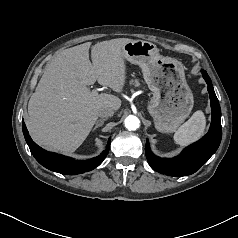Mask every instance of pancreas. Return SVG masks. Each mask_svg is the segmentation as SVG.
<instances>
[{
	"label": "pancreas",
	"mask_w": 238,
	"mask_h": 238,
	"mask_svg": "<svg viewBox=\"0 0 238 238\" xmlns=\"http://www.w3.org/2000/svg\"><path fill=\"white\" fill-rule=\"evenodd\" d=\"M130 85H133L135 87H138L139 86V81L138 80H131L130 81Z\"/></svg>",
	"instance_id": "cf45deb5"
}]
</instances>
